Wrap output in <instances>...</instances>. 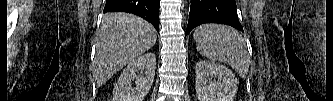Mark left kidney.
<instances>
[{
	"label": "left kidney",
	"instance_id": "5707ae66",
	"mask_svg": "<svg viewBox=\"0 0 333 101\" xmlns=\"http://www.w3.org/2000/svg\"><path fill=\"white\" fill-rule=\"evenodd\" d=\"M195 71L199 101H233L238 81L228 67L202 60Z\"/></svg>",
	"mask_w": 333,
	"mask_h": 101
}]
</instances>
